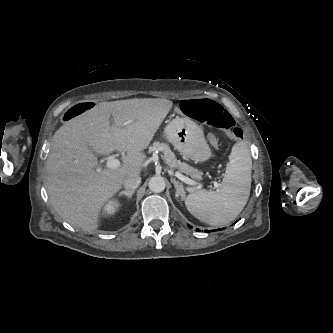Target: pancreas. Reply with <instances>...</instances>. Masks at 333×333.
I'll use <instances>...</instances> for the list:
<instances>
[{"instance_id":"pancreas-1","label":"pancreas","mask_w":333,"mask_h":333,"mask_svg":"<svg viewBox=\"0 0 333 333\" xmlns=\"http://www.w3.org/2000/svg\"><path fill=\"white\" fill-rule=\"evenodd\" d=\"M156 150L163 152V158L166 162V164L174 170H177L180 173H184L187 176H190L193 179L200 180L202 179V172L198 171L197 169L189 166L186 163L181 162L180 160H177L175 157V154L171 151L169 146L164 143L160 142H154L149 147V152L152 153Z\"/></svg>"}]
</instances>
